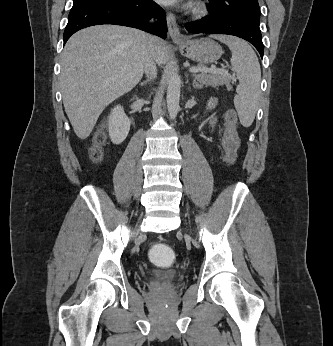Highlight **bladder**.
Listing matches in <instances>:
<instances>
[{"instance_id":"31cf9c89","label":"bladder","mask_w":333,"mask_h":346,"mask_svg":"<svg viewBox=\"0 0 333 346\" xmlns=\"http://www.w3.org/2000/svg\"><path fill=\"white\" fill-rule=\"evenodd\" d=\"M156 277L163 282L167 283H175L180 280V273L176 270H170L165 272H160L156 275Z\"/></svg>"}]
</instances>
